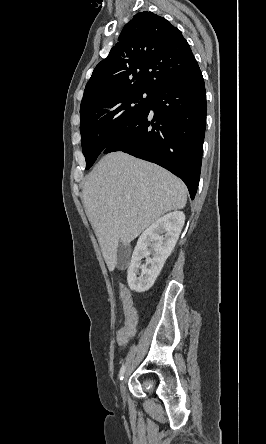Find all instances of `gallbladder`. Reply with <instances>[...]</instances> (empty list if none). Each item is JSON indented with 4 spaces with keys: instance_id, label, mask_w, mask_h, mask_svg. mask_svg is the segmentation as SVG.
<instances>
[{
    "instance_id": "gallbladder-1",
    "label": "gallbladder",
    "mask_w": 266,
    "mask_h": 444,
    "mask_svg": "<svg viewBox=\"0 0 266 444\" xmlns=\"http://www.w3.org/2000/svg\"><path fill=\"white\" fill-rule=\"evenodd\" d=\"M129 247L122 244H118L117 249V268L123 269L128 263Z\"/></svg>"
}]
</instances>
